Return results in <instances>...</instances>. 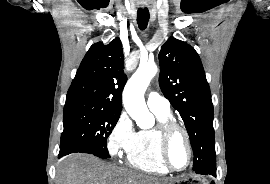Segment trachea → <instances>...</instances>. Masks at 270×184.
<instances>
[{"mask_svg": "<svg viewBox=\"0 0 270 184\" xmlns=\"http://www.w3.org/2000/svg\"><path fill=\"white\" fill-rule=\"evenodd\" d=\"M148 9H138L137 11V23L141 30L146 29L149 21Z\"/></svg>", "mask_w": 270, "mask_h": 184, "instance_id": "1", "label": "trachea"}]
</instances>
